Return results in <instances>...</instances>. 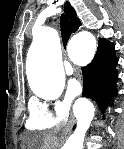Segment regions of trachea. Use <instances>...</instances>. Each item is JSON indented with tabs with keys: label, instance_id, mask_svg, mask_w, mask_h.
Segmentation results:
<instances>
[{
	"label": "trachea",
	"instance_id": "obj_1",
	"mask_svg": "<svg viewBox=\"0 0 124 149\" xmlns=\"http://www.w3.org/2000/svg\"><path fill=\"white\" fill-rule=\"evenodd\" d=\"M60 28H61L63 42L67 43V41L71 36L72 28L68 18L64 14L61 15Z\"/></svg>",
	"mask_w": 124,
	"mask_h": 149
}]
</instances>
